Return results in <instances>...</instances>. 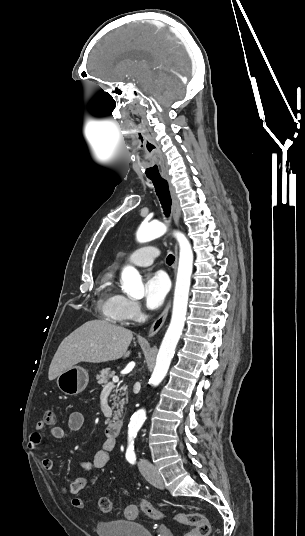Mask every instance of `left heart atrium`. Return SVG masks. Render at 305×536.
I'll return each mask as SVG.
<instances>
[{
  "instance_id": "39dd6f15",
  "label": "left heart atrium",
  "mask_w": 305,
  "mask_h": 536,
  "mask_svg": "<svg viewBox=\"0 0 305 536\" xmlns=\"http://www.w3.org/2000/svg\"><path fill=\"white\" fill-rule=\"evenodd\" d=\"M168 292V281L164 274L152 273L145 279V303L149 309L161 306Z\"/></svg>"
}]
</instances>
